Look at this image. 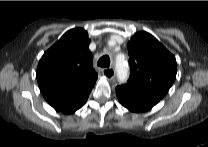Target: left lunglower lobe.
Segmentation results:
<instances>
[{"mask_svg":"<svg viewBox=\"0 0 208 147\" xmlns=\"http://www.w3.org/2000/svg\"><path fill=\"white\" fill-rule=\"evenodd\" d=\"M116 94L119 102L132 112L147 111L160 101L155 95L126 85L116 87Z\"/></svg>","mask_w":208,"mask_h":147,"instance_id":"1","label":"left lung lower lobe"}]
</instances>
